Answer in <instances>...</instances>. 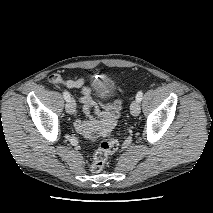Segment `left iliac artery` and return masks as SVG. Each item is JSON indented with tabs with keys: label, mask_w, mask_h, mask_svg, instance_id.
<instances>
[{
	"label": "left iliac artery",
	"mask_w": 213,
	"mask_h": 213,
	"mask_svg": "<svg viewBox=\"0 0 213 213\" xmlns=\"http://www.w3.org/2000/svg\"><path fill=\"white\" fill-rule=\"evenodd\" d=\"M142 97H143V92L142 91H139L136 95V100L138 102H140L142 100Z\"/></svg>",
	"instance_id": "left-iliac-artery-1"
}]
</instances>
